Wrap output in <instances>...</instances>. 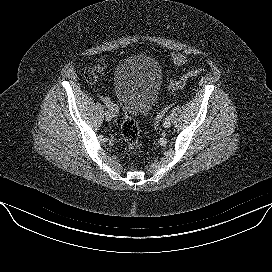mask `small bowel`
Returning <instances> with one entry per match:
<instances>
[{
	"mask_svg": "<svg viewBox=\"0 0 272 272\" xmlns=\"http://www.w3.org/2000/svg\"><path fill=\"white\" fill-rule=\"evenodd\" d=\"M172 60L179 65H183L187 63L188 58L184 54L177 53L172 55Z\"/></svg>",
	"mask_w": 272,
	"mask_h": 272,
	"instance_id": "c3829d8e",
	"label": "small bowel"
}]
</instances>
